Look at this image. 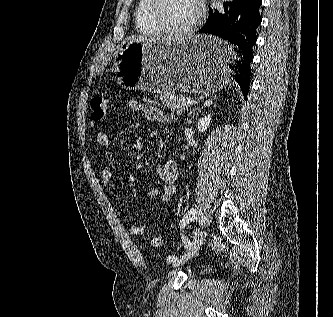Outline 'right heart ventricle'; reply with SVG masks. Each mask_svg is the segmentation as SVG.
Wrapping results in <instances>:
<instances>
[{"label":"right heart ventricle","mask_w":333,"mask_h":317,"mask_svg":"<svg viewBox=\"0 0 333 317\" xmlns=\"http://www.w3.org/2000/svg\"><path fill=\"white\" fill-rule=\"evenodd\" d=\"M149 0H139L135 9L137 30L144 35H160L163 31L153 22L148 11Z\"/></svg>","instance_id":"1"}]
</instances>
